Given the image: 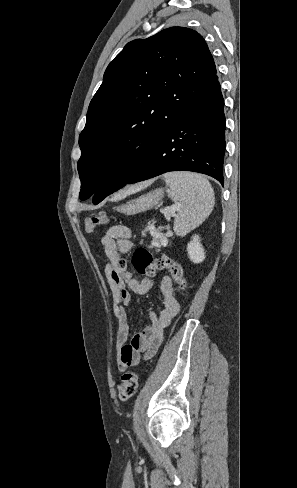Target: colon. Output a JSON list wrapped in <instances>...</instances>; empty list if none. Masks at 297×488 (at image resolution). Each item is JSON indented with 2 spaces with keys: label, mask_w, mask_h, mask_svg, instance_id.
I'll list each match as a JSON object with an SVG mask.
<instances>
[{
  "label": "colon",
  "mask_w": 297,
  "mask_h": 488,
  "mask_svg": "<svg viewBox=\"0 0 297 488\" xmlns=\"http://www.w3.org/2000/svg\"><path fill=\"white\" fill-rule=\"evenodd\" d=\"M108 221L107 215L104 212H99L93 215L86 222V230L93 232L95 227L106 224ZM132 263L135 270L143 276L148 278L154 277L159 271L169 270L176 283L181 290L186 287V281L183 277V270L179 263L169 257L162 255H154L144 248L137 249L132 257ZM127 263L124 259L119 258L117 263V271L120 273H127ZM138 386V375L135 371H127L121 376V380L117 386L118 397L122 401H127L132 398Z\"/></svg>",
  "instance_id": "colon-1"
}]
</instances>
